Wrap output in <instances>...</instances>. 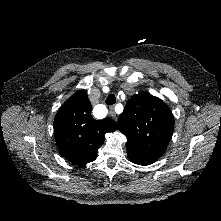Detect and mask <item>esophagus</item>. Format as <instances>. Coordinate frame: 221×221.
I'll return each instance as SVG.
<instances>
[{
  "label": "esophagus",
  "mask_w": 221,
  "mask_h": 221,
  "mask_svg": "<svg viewBox=\"0 0 221 221\" xmlns=\"http://www.w3.org/2000/svg\"><path fill=\"white\" fill-rule=\"evenodd\" d=\"M109 115L115 120L117 121V114L115 113V110H114V106H111L109 108Z\"/></svg>",
  "instance_id": "obj_1"
}]
</instances>
